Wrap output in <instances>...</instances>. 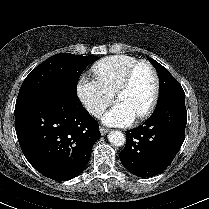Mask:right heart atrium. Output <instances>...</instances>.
<instances>
[{"label":"right heart atrium","instance_id":"obj_1","mask_svg":"<svg viewBox=\"0 0 209 209\" xmlns=\"http://www.w3.org/2000/svg\"><path fill=\"white\" fill-rule=\"evenodd\" d=\"M77 92L88 112L96 117L104 111L114 97V93L98 79L86 75L80 77Z\"/></svg>","mask_w":209,"mask_h":209}]
</instances>
